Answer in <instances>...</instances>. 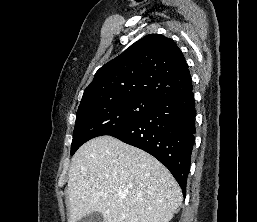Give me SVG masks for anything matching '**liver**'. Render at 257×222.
I'll return each mask as SVG.
<instances>
[{
	"label": "liver",
	"mask_w": 257,
	"mask_h": 222,
	"mask_svg": "<svg viewBox=\"0 0 257 222\" xmlns=\"http://www.w3.org/2000/svg\"><path fill=\"white\" fill-rule=\"evenodd\" d=\"M68 195L69 222L93 212L104 222H169L183 199L164 165L111 136L94 138L74 154Z\"/></svg>",
	"instance_id": "obj_1"
}]
</instances>
